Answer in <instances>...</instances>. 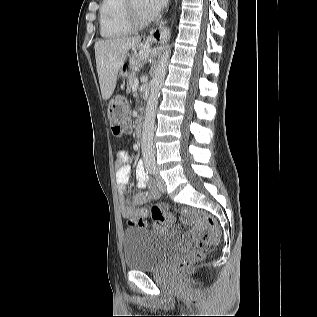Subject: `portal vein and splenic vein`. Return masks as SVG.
<instances>
[{
    "label": "portal vein and splenic vein",
    "mask_w": 317,
    "mask_h": 317,
    "mask_svg": "<svg viewBox=\"0 0 317 317\" xmlns=\"http://www.w3.org/2000/svg\"><path fill=\"white\" fill-rule=\"evenodd\" d=\"M138 85H139V81H138V79H136L135 82H134V85H133L132 90H133V91H136L137 88H138Z\"/></svg>",
    "instance_id": "obj_1"
}]
</instances>
